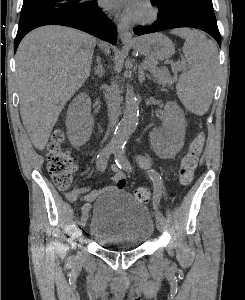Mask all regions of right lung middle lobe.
<instances>
[{"label":"right lung middle lobe","instance_id":"right-lung-middle-lobe-1","mask_svg":"<svg viewBox=\"0 0 245 300\" xmlns=\"http://www.w3.org/2000/svg\"><path fill=\"white\" fill-rule=\"evenodd\" d=\"M96 4V0H24L19 26L63 13H82Z\"/></svg>","mask_w":245,"mask_h":300}]
</instances>
